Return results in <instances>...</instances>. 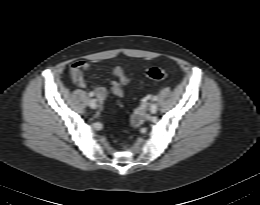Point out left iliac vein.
I'll list each match as a JSON object with an SVG mask.
<instances>
[{"label": "left iliac vein", "instance_id": "left-iliac-vein-1", "mask_svg": "<svg viewBox=\"0 0 260 205\" xmlns=\"http://www.w3.org/2000/svg\"><path fill=\"white\" fill-rule=\"evenodd\" d=\"M158 106L156 103H151L149 106V111L152 114H155L157 112Z\"/></svg>", "mask_w": 260, "mask_h": 205}]
</instances>
